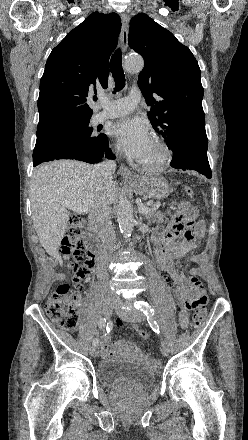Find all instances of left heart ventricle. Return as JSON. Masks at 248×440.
<instances>
[{
	"mask_svg": "<svg viewBox=\"0 0 248 440\" xmlns=\"http://www.w3.org/2000/svg\"><path fill=\"white\" fill-rule=\"evenodd\" d=\"M158 157V152L152 143L150 150L146 154V156L143 158L141 162H153Z\"/></svg>",
	"mask_w": 248,
	"mask_h": 440,
	"instance_id": "b2bd125f",
	"label": "left heart ventricle"
}]
</instances>
